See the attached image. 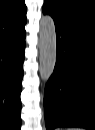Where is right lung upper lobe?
Segmentation results:
<instances>
[{
  "label": "right lung upper lobe",
  "mask_w": 95,
  "mask_h": 130,
  "mask_svg": "<svg viewBox=\"0 0 95 130\" xmlns=\"http://www.w3.org/2000/svg\"><path fill=\"white\" fill-rule=\"evenodd\" d=\"M25 24L24 0H0V41L24 31Z\"/></svg>",
  "instance_id": "1"
}]
</instances>
